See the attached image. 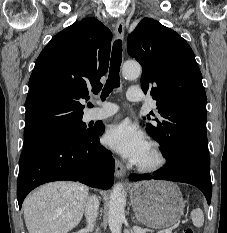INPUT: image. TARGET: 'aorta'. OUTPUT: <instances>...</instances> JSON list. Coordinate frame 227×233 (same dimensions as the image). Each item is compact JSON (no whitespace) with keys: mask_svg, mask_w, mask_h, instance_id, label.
<instances>
[{"mask_svg":"<svg viewBox=\"0 0 227 233\" xmlns=\"http://www.w3.org/2000/svg\"><path fill=\"white\" fill-rule=\"evenodd\" d=\"M142 72L139 63L128 61L122 66V75L125 79H137ZM126 198L121 183L115 184L110 196L108 223L111 233H121L122 223L125 220Z\"/></svg>","mask_w":227,"mask_h":233,"instance_id":"762f6f07","label":"aorta"}]
</instances>
